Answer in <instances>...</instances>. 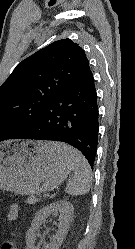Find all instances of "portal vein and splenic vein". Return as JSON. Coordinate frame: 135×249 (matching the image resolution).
I'll return each mask as SVG.
<instances>
[{
    "instance_id": "portal-vein-and-splenic-vein-1",
    "label": "portal vein and splenic vein",
    "mask_w": 135,
    "mask_h": 249,
    "mask_svg": "<svg viewBox=\"0 0 135 249\" xmlns=\"http://www.w3.org/2000/svg\"><path fill=\"white\" fill-rule=\"evenodd\" d=\"M46 196H48V194H44V195H43V197H46Z\"/></svg>"
}]
</instances>
